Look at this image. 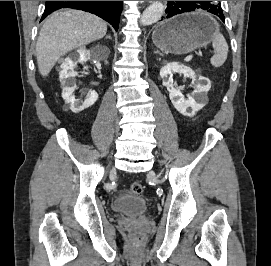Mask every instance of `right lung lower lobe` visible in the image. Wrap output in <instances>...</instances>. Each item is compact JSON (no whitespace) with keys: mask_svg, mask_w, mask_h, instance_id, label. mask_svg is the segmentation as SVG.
I'll use <instances>...</instances> for the list:
<instances>
[{"mask_svg":"<svg viewBox=\"0 0 271 266\" xmlns=\"http://www.w3.org/2000/svg\"><path fill=\"white\" fill-rule=\"evenodd\" d=\"M73 8L93 13L109 22L117 31L122 11V1H46L42 19L60 8Z\"/></svg>","mask_w":271,"mask_h":266,"instance_id":"obj_1","label":"right lung lower lobe"}]
</instances>
